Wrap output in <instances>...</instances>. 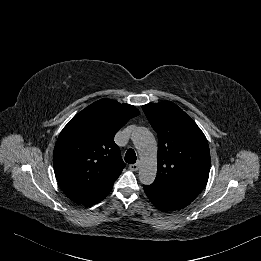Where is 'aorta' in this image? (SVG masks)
Segmentation results:
<instances>
[{"label":"aorta","mask_w":261,"mask_h":261,"mask_svg":"<svg viewBox=\"0 0 261 261\" xmlns=\"http://www.w3.org/2000/svg\"><path fill=\"white\" fill-rule=\"evenodd\" d=\"M131 139L141 160L139 180L144 185L154 182L157 173V144L153 134L145 127H137Z\"/></svg>","instance_id":"1"}]
</instances>
